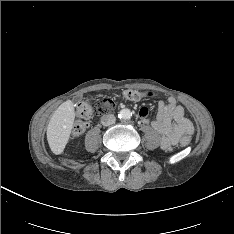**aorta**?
Instances as JSON below:
<instances>
[{
  "label": "aorta",
  "instance_id": "obj_1",
  "mask_svg": "<svg viewBox=\"0 0 234 234\" xmlns=\"http://www.w3.org/2000/svg\"><path fill=\"white\" fill-rule=\"evenodd\" d=\"M132 116V113L129 109H122L120 112H119V115L118 117L121 119V120H129Z\"/></svg>",
  "mask_w": 234,
  "mask_h": 234
}]
</instances>
